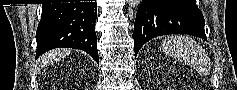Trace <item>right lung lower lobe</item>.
<instances>
[{
    "instance_id": "98d812e1",
    "label": "right lung lower lobe",
    "mask_w": 237,
    "mask_h": 90,
    "mask_svg": "<svg viewBox=\"0 0 237 90\" xmlns=\"http://www.w3.org/2000/svg\"><path fill=\"white\" fill-rule=\"evenodd\" d=\"M96 18L95 2L42 4L36 58L50 49L67 47L81 49L99 63Z\"/></svg>"
}]
</instances>
